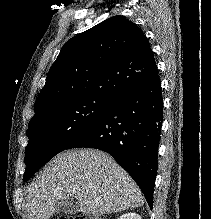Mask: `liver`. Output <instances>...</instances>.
I'll return each mask as SVG.
<instances>
[{
	"instance_id": "1",
	"label": "liver",
	"mask_w": 211,
	"mask_h": 219,
	"mask_svg": "<svg viewBox=\"0 0 211 219\" xmlns=\"http://www.w3.org/2000/svg\"><path fill=\"white\" fill-rule=\"evenodd\" d=\"M76 198L85 214L101 215L142 206L138 185L107 153L68 150L55 156L28 189L29 219H49L57 204Z\"/></svg>"
}]
</instances>
